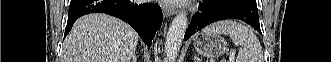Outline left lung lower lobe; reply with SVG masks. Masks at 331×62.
Wrapping results in <instances>:
<instances>
[{
	"instance_id": "1",
	"label": "left lung lower lobe",
	"mask_w": 331,
	"mask_h": 62,
	"mask_svg": "<svg viewBox=\"0 0 331 62\" xmlns=\"http://www.w3.org/2000/svg\"><path fill=\"white\" fill-rule=\"evenodd\" d=\"M200 10L191 20L184 40L208 24L224 19H240L261 33L256 0H203Z\"/></svg>"
}]
</instances>
